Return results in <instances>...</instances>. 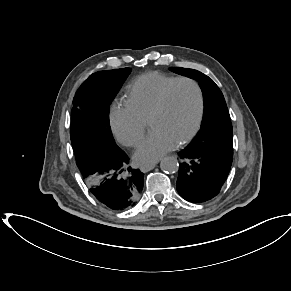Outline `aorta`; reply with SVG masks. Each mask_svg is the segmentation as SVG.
Masks as SVG:
<instances>
[{"label": "aorta", "mask_w": 291, "mask_h": 291, "mask_svg": "<svg viewBox=\"0 0 291 291\" xmlns=\"http://www.w3.org/2000/svg\"><path fill=\"white\" fill-rule=\"evenodd\" d=\"M160 168L164 172L175 173L179 169V164L175 157L168 156L161 160Z\"/></svg>", "instance_id": "1"}]
</instances>
